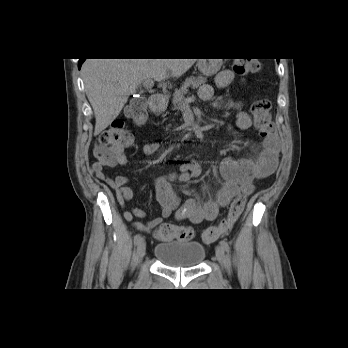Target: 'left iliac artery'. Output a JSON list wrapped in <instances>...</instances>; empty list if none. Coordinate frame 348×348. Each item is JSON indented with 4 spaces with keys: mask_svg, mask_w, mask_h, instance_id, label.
<instances>
[{
    "mask_svg": "<svg viewBox=\"0 0 348 348\" xmlns=\"http://www.w3.org/2000/svg\"><path fill=\"white\" fill-rule=\"evenodd\" d=\"M220 245L222 246V248L226 251V252H229L230 251V247L228 245V243L226 241H221L220 242Z\"/></svg>",
    "mask_w": 348,
    "mask_h": 348,
    "instance_id": "1",
    "label": "left iliac artery"
}]
</instances>
